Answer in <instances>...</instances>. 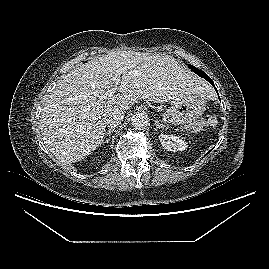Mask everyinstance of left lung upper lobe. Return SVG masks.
Instances as JSON below:
<instances>
[{
    "label": "left lung upper lobe",
    "mask_w": 269,
    "mask_h": 269,
    "mask_svg": "<svg viewBox=\"0 0 269 269\" xmlns=\"http://www.w3.org/2000/svg\"><path fill=\"white\" fill-rule=\"evenodd\" d=\"M188 67L190 68V69H192L193 71H195L197 68H195L193 65H188Z\"/></svg>",
    "instance_id": "1"
}]
</instances>
